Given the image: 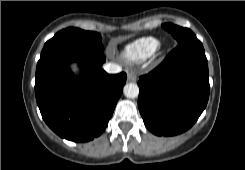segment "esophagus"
<instances>
[{
	"mask_svg": "<svg viewBox=\"0 0 245 170\" xmlns=\"http://www.w3.org/2000/svg\"><path fill=\"white\" fill-rule=\"evenodd\" d=\"M127 79H128V81L134 82L137 79V74L135 72L131 71L128 73Z\"/></svg>",
	"mask_w": 245,
	"mask_h": 170,
	"instance_id": "obj_1",
	"label": "esophagus"
}]
</instances>
